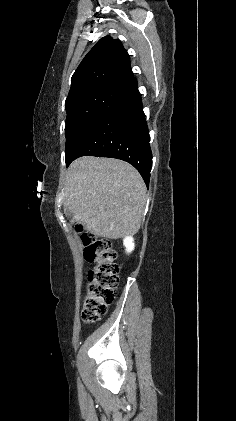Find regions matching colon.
Segmentation results:
<instances>
[{"label":"colon","instance_id":"1","mask_svg":"<svg viewBox=\"0 0 236 421\" xmlns=\"http://www.w3.org/2000/svg\"><path fill=\"white\" fill-rule=\"evenodd\" d=\"M85 259L93 267L88 273V285L82 306V320H100L113 302L119 281V266L111 242L90 234H83Z\"/></svg>","mask_w":236,"mask_h":421}]
</instances>
